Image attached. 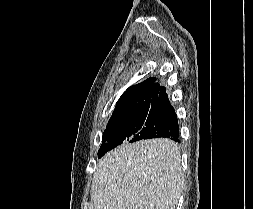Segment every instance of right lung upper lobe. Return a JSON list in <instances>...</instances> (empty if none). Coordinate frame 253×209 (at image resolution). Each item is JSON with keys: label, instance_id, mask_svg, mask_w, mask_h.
<instances>
[{"label": "right lung upper lobe", "instance_id": "obj_1", "mask_svg": "<svg viewBox=\"0 0 253 209\" xmlns=\"http://www.w3.org/2000/svg\"><path fill=\"white\" fill-rule=\"evenodd\" d=\"M165 94V87L156 83L155 77L148 78L140 84L131 86L117 102L110 120L130 114L138 109L151 108L152 104L161 99Z\"/></svg>", "mask_w": 253, "mask_h": 209}]
</instances>
